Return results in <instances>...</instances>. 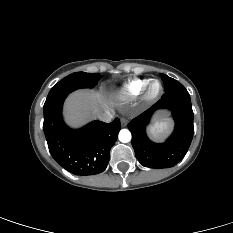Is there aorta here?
Here are the masks:
<instances>
[{"label": "aorta", "instance_id": "obj_1", "mask_svg": "<svg viewBox=\"0 0 233 233\" xmlns=\"http://www.w3.org/2000/svg\"><path fill=\"white\" fill-rule=\"evenodd\" d=\"M131 132L128 129H122L119 132L118 138L120 140V142L122 143H127L131 141Z\"/></svg>", "mask_w": 233, "mask_h": 233}]
</instances>
